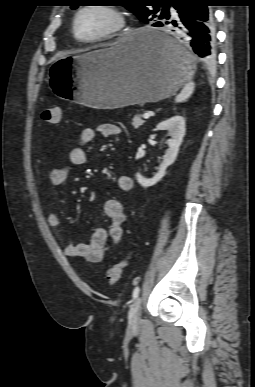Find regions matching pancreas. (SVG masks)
Returning a JSON list of instances; mask_svg holds the SVG:
<instances>
[{
  "instance_id": "obj_1",
  "label": "pancreas",
  "mask_w": 255,
  "mask_h": 387,
  "mask_svg": "<svg viewBox=\"0 0 255 387\" xmlns=\"http://www.w3.org/2000/svg\"><path fill=\"white\" fill-rule=\"evenodd\" d=\"M144 120L141 119L140 116L138 115H135L132 119V126L135 128V129H138L140 126H142L144 124Z\"/></svg>"
}]
</instances>
